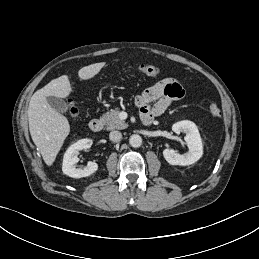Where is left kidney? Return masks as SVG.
<instances>
[{
	"mask_svg": "<svg viewBox=\"0 0 259 259\" xmlns=\"http://www.w3.org/2000/svg\"><path fill=\"white\" fill-rule=\"evenodd\" d=\"M176 134L186 133L185 141L189 151L183 155L173 149H165L163 156L171 165L186 166L197 162L203 155V144L199 131L195 123L189 120L179 121L172 126Z\"/></svg>",
	"mask_w": 259,
	"mask_h": 259,
	"instance_id": "left-kidney-1",
	"label": "left kidney"
}]
</instances>
